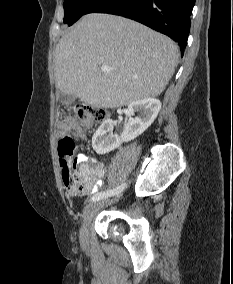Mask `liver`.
<instances>
[{"label": "liver", "mask_w": 233, "mask_h": 284, "mask_svg": "<svg viewBox=\"0 0 233 284\" xmlns=\"http://www.w3.org/2000/svg\"><path fill=\"white\" fill-rule=\"evenodd\" d=\"M56 86L96 108H119L160 95L178 63L167 36L120 16H83L55 49ZM107 65L108 71L101 66Z\"/></svg>", "instance_id": "liver-1"}]
</instances>
